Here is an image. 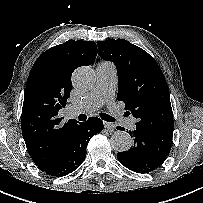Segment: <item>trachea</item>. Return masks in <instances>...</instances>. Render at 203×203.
<instances>
[{"mask_svg":"<svg viewBox=\"0 0 203 203\" xmlns=\"http://www.w3.org/2000/svg\"><path fill=\"white\" fill-rule=\"evenodd\" d=\"M99 115H100V117H101L103 120H105V121H107V122H114V121L116 120L114 117H112V116H110V115H108V114H106V113H100ZM78 119H79L80 121H84V120L87 119V116H86L85 114H80V115L78 116Z\"/></svg>","mask_w":203,"mask_h":203,"instance_id":"1","label":"trachea"}]
</instances>
